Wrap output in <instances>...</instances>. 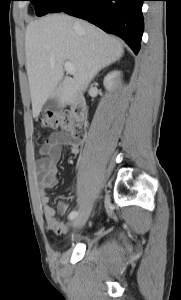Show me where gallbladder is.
Wrapping results in <instances>:
<instances>
[{
	"label": "gallbladder",
	"mask_w": 181,
	"mask_h": 300,
	"mask_svg": "<svg viewBox=\"0 0 181 300\" xmlns=\"http://www.w3.org/2000/svg\"><path fill=\"white\" fill-rule=\"evenodd\" d=\"M61 109L62 105L60 104L57 97L48 98L45 104L43 105L44 111H60Z\"/></svg>",
	"instance_id": "obj_1"
}]
</instances>
